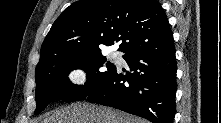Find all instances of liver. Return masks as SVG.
I'll return each mask as SVG.
<instances>
[{
	"mask_svg": "<svg viewBox=\"0 0 221 123\" xmlns=\"http://www.w3.org/2000/svg\"><path fill=\"white\" fill-rule=\"evenodd\" d=\"M42 123H146V121L112 108L77 102L55 110Z\"/></svg>",
	"mask_w": 221,
	"mask_h": 123,
	"instance_id": "liver-1",
	"label": "liver"
}]
</instances>
